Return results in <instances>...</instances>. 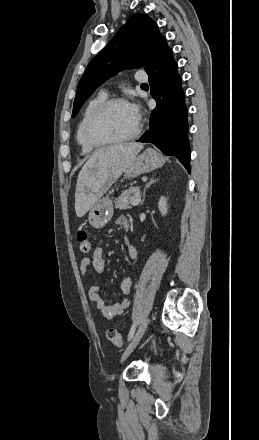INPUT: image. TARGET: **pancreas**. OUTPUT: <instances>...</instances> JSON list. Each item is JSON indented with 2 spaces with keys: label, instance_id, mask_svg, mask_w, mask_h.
Returning <instances> with one entry per match:
<instances>
[{
  "label": "pancreas",
  "instance_id": "obj_1",
  "mask_svg": "<svg viewBox=\"0 0 259 440\" xmlns=\"http://www.w3.org/2000/svg\"><path fill=\"white\" fill-rule=\"evenodd\" d=\"M139 193L138 187H131L125 190L116 200L115 207L120 210L131 208V204L136 199V194Z\"/></svg>",
  "mask_w": 259,
  "mask_h": 440
}]
</instances>
